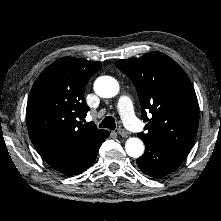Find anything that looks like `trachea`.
Masks as SVG:
<instances>
[{"instance_id": "3493384b", "label": "trachea", "mask_w": 221, "mask_h": 221, "mask_svg": "<svg viewBox=\"0 0 221 221\" xmlns=\"http://www.w3.org/2000/svg\"><path fill=\"white\" fill-rule=\"evenodd\" d=\"M99 127L114 130L116 128L115 119L112 116H107L99 124Z\"/></svg>"}]
</instances>
